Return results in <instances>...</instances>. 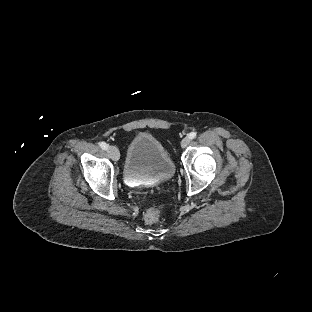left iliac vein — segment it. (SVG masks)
Listing matches in <instances>:
<instances>
[{"label":"left iliac vein","instance_id":"1","mask_svg":"<svg viewBox=\"0 0 312 312\" xmlns=\"http://www.w3.org/2000/svg\"><path fill=\"white\" fill-rule=\"evenodd\" d=\"M190 142V139L188 137H185L182 142H181V146L182 148H185Z\"/></svg>","mask_w":312,"mask_h":312}]
</instances>
